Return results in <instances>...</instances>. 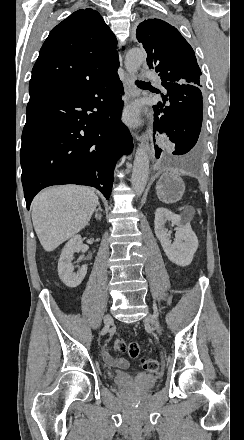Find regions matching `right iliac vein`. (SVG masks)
<instances>
[{
	"label": "right iliac vein",
	"instance_id": "right-iliac-vein-1",
	"mask_svg": "<svg viewBox=\"0 0 244 440\" xmlns=\"http://www.w3.org/2000/svg\"><path fill=\"white\" fill-rule=\"evenodd\" d=\"M113 322V320H112V317L110 316V315H106L105 317H104V323L106 324V325H109L110 323H112Z\"/></svg>",
	"mask_w": 244,
	"mask_h": 440
}]
</instances>
